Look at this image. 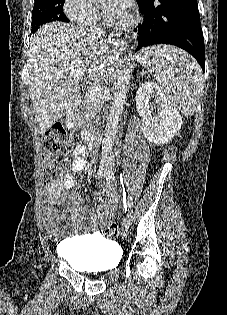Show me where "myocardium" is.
<instances>
[{"instance_id":"1","label":"myocardium","mask_w":227,"mask_h":315,"mask_svg":"<svg viewBox=\"0 0 227 315\" xmlns=\"http://www.w3.org/2000/svg\"><path fill=\"white\" fill-rule=\"evenodd\" d=\"M135 23V17H131L129 22L126 24V25H123L122 27H129V26H132L133 24Z\"/></svg>"}]
</instances>
